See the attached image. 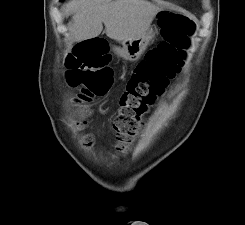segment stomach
Returning <instances> with one entry per match:
<instances>
[{
	"mask_svg": "<svg viewBox=\"0 0 245 225\" xmlns=\"http://www.w3.org/2000/svg\"><path fill=\"white\" fill-rule=\"evenodd\" d=\"M155 35L156 31L152 27H149L140 37L124 41L122 47H115L114 51L125 60L137 61L154 39Z\"/></svg>",
	"mask_w": 245,
	"mask_h": 225,
	"instance_id": "1",
	"label": "stomach"
}]
</instances>
